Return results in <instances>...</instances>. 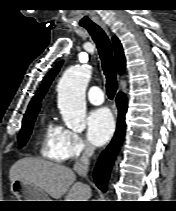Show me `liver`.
I'll return each mask as SVG.
<instances>
[{
  "mask_svg": "<svg viewBox=\"0 0 176 211\" xmlns=\"http://www.w3.org/2000/svg\"><path fill=\"white\" fill-rule=\"evenodd\" d=\"M10 182L22 180L34 185L54 199L63 195L65 201H88L91 189L76 181L75 173L68 167L40 158H22L9 171Z\"/></svg>",
  "mask_w": 176,
  "mask_h": 211,
  "instance_id": "obj_1",
  "label": "liver"
}]
</instances>
